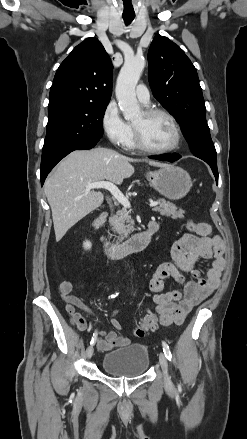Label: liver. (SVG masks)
<instances>
[{
  "instance_id": "obj_1",
  "label": "liver",
  "mask_w": 247,
  "mask_h": 439,
  "mask_svg": "<svg viewBox=\"0 0 247 439\" xmlns=\"http://www.w3.org/2000/svg\"><path fill=\"white\" fill-rule=\"evenodd\" d=\"M145 161L155 167L166 164L126 157L107 148L77 150L63 159L48 176L44 192L51 207L56 241L104 201L101 192L86 190V185L107 180L120 185L134 173L131 162Z\"/></svg>"
}]
</instances>
